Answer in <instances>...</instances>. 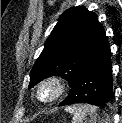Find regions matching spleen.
<instances>
[{
	"label": "spleen",
	"mask_w": 122,
	"mask_h": 123,
	"mask_svg": "<svg viewBox=\"0 0 122 123\" xmlns=\"http://www.w3.org/2000/svg\"><path fill=\"white\" fill-rule=\"evenodd\" d=\"M73 114L72 123H102L104 120L98 121L99 114L97 107L91 105H73L65 109Z\"/></svg>",
	"instance_id": "spleen-1"
}]
</instances>
